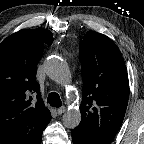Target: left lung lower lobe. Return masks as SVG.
<instances>
[{"instance_id": "obj_1", "label": "left lung lower lobe", "mask_w": 144, "mask_h": 144, "mask_svg": "<svg viewBox=\"0 0 144 144\" xmlns=\"http://www.w3.org/2000/svg\"><path fill=\"white\" fill-rule=\"evenodd\" d=\"M73 144H110L109 141L95 140L86 136L79 129H73L72 132Z\"/></svg>"}]
</instances>
